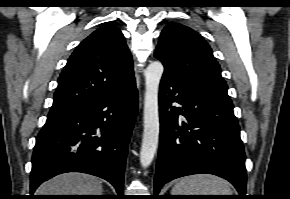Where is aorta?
<instances>
[{"instance_id":"1","label":"aorta","mask_w":290,"mask_h":199,"mask_svg":"<svg viewBox=\"0 0 290 199\" xmlns=\"http://www.w3.org/2000/svg\"><path fill=\"white\" fill-rule=\"evenodd\" d=\"M164 71L160 61L150 63L145 71L144 132L140 150V163L147 168L152 163L159 142V84Z\"/></svg>"}]
</instances>
